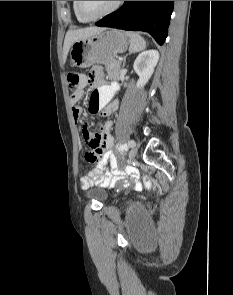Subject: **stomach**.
Masks as SVG:
<instances>
[{
	"mask_svg": "<svg viewBox=\"0 0 233 295\" xmlns=\"http://www.w3.org/2000/svg\"><path fill=\"white\" fill-rule=\"evenodd\" d=\"M127 33L117 30H102L86 39L76 41L70 50L71 62L79 68H88L93 64H108L117 54L127 50Z\"/></svg>",
	"mask_w": 233,
	"mask_h": 295,
	"instance_id": "1",
	"label": "stomach"
}]
</instances>
